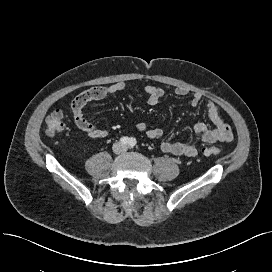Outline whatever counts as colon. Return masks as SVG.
<instances>
[{
    "instance_id": "obj_1",
    "label": "colon",
    "mask_w": 272,
    "mask_h": 272,
    "mask_svg": "<svg viewBox=\"0 0 272 272\" xmlns=\"http://www.w3.org/2000/svg\"><path fill=\"white\" fill-rule=\"evenodd\" d=\"M64 113L62 110H56L52 112L45 121V132L49 136L59 134L64 129ZM202 153L204 155H218L220 150L217 147H203Z\"/></svg>"
}]
</instances>
